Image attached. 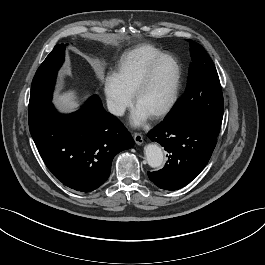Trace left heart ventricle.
I'll return each instance as SVG.
<instances>
[{"mask_svg": "<svg viewBox=\"0 0 265 265\" xmlns=\"http://www.w3.org/2000/svg\"><path fill=\"white\" fill-rule=\"evenodd\" d=\"M176 71L173 61L166 59L158 64L152 78L139 96L135 106L151 116L161 109L169 100L174 83Z\"/></svg>", "mask_w": 265, "mask_h": 265, "instance_id": "left-heart-ventricle-1", "label": "left heart ventricle"}]
</instances>
